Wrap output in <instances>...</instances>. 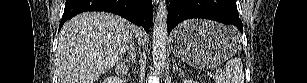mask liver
I'll use <instances>...</instances> for the list:
<instances>
[{"mask_svg": "<svg viewBox=\"0 0 307 83\" xmlns=\"http://www.w3.org/2000/svg\"><path fill=\"white\" fill-rule=\"evenodd\" d=\"M146 42L143 29L105 12H84L64 24L57 48L59 83H94L131 45L133 35Z\"/></svg>", "mask_w": 307, "mask_h": 83, "instance_id": "liver-1", "label": "liver"}]
</instances>
